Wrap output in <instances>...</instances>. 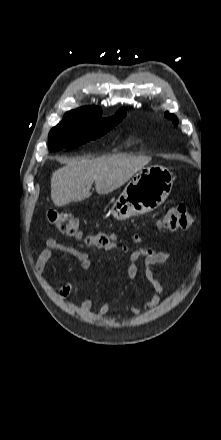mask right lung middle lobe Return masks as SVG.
<instances>
[{
    "mask_svg": "<svg viewBox=\"0 0 221 440\" xmlns=\"http://www.w3.org/2000/svg\"><path fill=\"white\" fill-rule=\"evenodd\" d=\"M125 115V109L110 119L101 118V110L67 112L64 119L49 133V151L76 148L99 138L116 126Z\"/></svg>",
    "mask_w": 221,
    "mask_h": 440,
    "instance_id": "obj_1",
    "label": "right lung middle lobe"
}]
</instances>
